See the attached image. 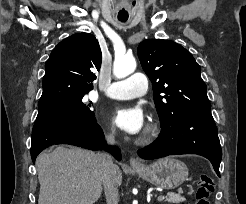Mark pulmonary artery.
<instances>
[{"label":"pulmonary artery","instance_id":"e3ab8cb5","mask_svg":"<svg viewBox=\"0 0 246 204\" xmlns=\"http://www.w3.org/2000/svg\"><path fill=\"white\" fill-rule=\"evenodd\" d=\"M148 89V79L143 73H134L130 77L114 82L107 90V96L125 100L144 95Z\"/></svg>","mask_w":246,"mask_h":204}]
</instances>
